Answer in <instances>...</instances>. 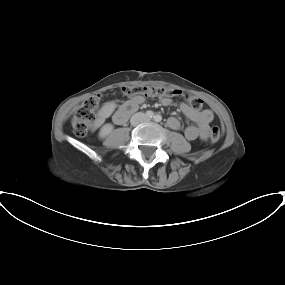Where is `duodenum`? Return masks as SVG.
<instances>
[{"label":"duodenum","mask_w":285,"mask_h":285,"mask_svg":"<svg viewBox=\"0 0 285 285\" xmlns=\"http://www.w3.org/2000/svg\"><path fill=\"white\" fill-rule=\"evenodd\" d=\"M136 106L133 103H125L115 114L114 122L117 124H123L128 117L136 110Z\"/></svg>","instance_id":"1"}]
</instances>
